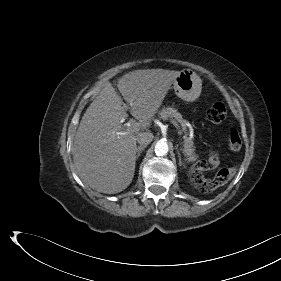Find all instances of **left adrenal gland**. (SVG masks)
<instances>
[{
  "mask_svg": "<svg viewBox=\"0 0 281 281\" xmlns=\"http://www.w3.org/2000/svg\"><path fill=\"white\" fill-rule=\"evenodd\" d=\"M178 157H179V166H184L185 167V165L182 163V160H181V154H180V152L178 151Z\"/></svg>",
  "mask_w": 281,
  "mask_h": 281,
  "instance_id": "a2214340",
  "label": "left adrenal gland"
}]
</instances>
